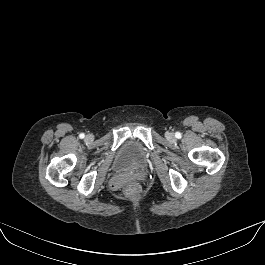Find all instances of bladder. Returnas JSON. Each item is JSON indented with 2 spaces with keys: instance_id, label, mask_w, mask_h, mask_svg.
<instances>
[{
  "instance_id": "obj_1",
  "label": "bladder",
  "mask_w": 265,
  "mask_h": 265,
  "mask_svg": "<svg viewBox=\"0 0 265 265\" xmlns=\"http://www.w3.org/2000/svg\"><path fill=\"white\" fill-rule=\"evenodd\" d=\"M149 160L147 149L137 140H128L120 148L116 166L119 169L141 167Z\"/></svg>"
}]
</instances>
